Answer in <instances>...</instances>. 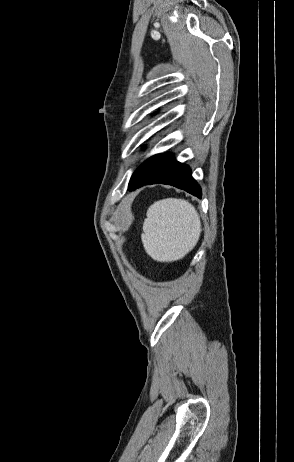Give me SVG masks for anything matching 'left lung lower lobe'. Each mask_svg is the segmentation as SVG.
<instances>
[{
  "label": "left lung lower lobe",
  "instance_id": "left-lung-lower-lobe-1",
  "mask_svg": "<svg viewBox=\"0 0 294 462\" xmlns=\"http://www.w3.org/2000/svg\"><path fill=\"white\" fill-rule=\"evenodd\" d=\"M162 183L183 189L201 198V189L191 176V169L175 160L172 154L154 155L143 162L133 173L129 190L144 185Z\"/></svg>",
  "mask_w": 294,
  "mask_h": 462
}]
</instances>
